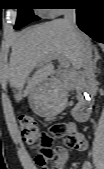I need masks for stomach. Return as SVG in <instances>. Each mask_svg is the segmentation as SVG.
I'll return each mask as SVG.
<instances>
[{
    "label": "stomach",
    "mask_w": 104,
    "mask_h": 169,
    "mask_svg": "<svg viewBox=\"0 0 104 169\" xmlns=\"http://www.w3.org/2000/svg\"><path fill=\"white\" fill-rule=\"evenodd\" d=\"M66 99L59 87L52 82L39 84L29 96L32 110L41 116H54L65 106Z\"/></svg>",
    "instance_id": "stomach-1"
}]
</instances>
